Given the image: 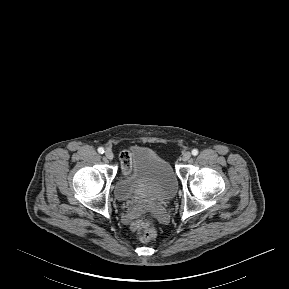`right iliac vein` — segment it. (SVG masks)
Returning a JSON list of instances; mask_svg holds the SVG:
<instances>
[{"label":"right iliac vein","instance_id":"obj_1","mask_svg":"<svg viewBox=\"0 0 289 289\" xmlns=\"http://www.w3.org/2000/svg\"><path fill=\"white\" fill-rule=\"evenodd\" d=\"M105 157L109 160H112L114 157L113 152L111 150H106L105 151Z\"/></svg>","mask_w":289,"mask_h":289}]
</instances>
